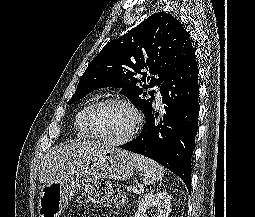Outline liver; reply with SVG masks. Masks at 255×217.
<instances>
[{"instance_id": "1", "label": "liver", "mask_w": 255, "mask_h": 217, "mask_svg": "<svg viewBox=\"0 0 255 217\" xmlns=\"http://www.w3.org/2000/svg\"><path fill=\"white\" fill-rule=\"evenodd\" d=\"M103 146L92 142H71L59 146L43 156L39 165V181L47 183L60 174L99 155Z\"/></svg>"}]
</instances>
